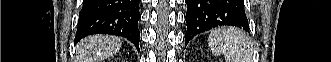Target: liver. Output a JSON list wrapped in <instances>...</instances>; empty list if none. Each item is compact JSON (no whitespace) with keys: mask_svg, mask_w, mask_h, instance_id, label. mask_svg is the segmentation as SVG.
I'll return each instance as SVG.
<instances>
[{"mask_svg":"<svg viewBox=\"0 0 331 62\" xmlns=\"http://www.w3.org/2000/svg\"><path fill=\"white\" fill-rule=\"evenodd\" d=\"M120 38L109 35H93L77 44L78 62H101L116 54L121 48Z\"/></svg>","mask_w":331,"mask_h":62,"instance_id":"6515ba94","label":"liver"}]
</instances>
